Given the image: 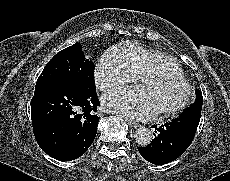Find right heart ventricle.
Segmentation results:
<instances>
[{
	"mask_svg": "<svg viewBox=\"0 0 230 181\" xmlns=\"http://www.w3.org/2000/svg\"><path fill=\"white\" fill-rule=\"evenodd\" d=\"M107 62L116 70L140 78L149 72H167L183 76L182 69L170 56L150 50L138 41H126L107 52Z\"/></svg>",
	"mask_w": 230,
	"mask_h": 181,
	"instance_id": "right-heart-ventricle-1",
	"label": "right heart ventricle"
}]
</instances>
